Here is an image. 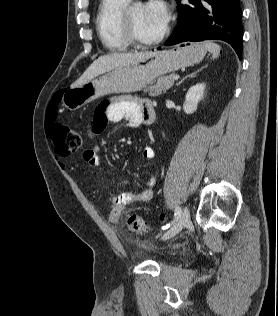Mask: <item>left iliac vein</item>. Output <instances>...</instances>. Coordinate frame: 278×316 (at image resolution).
Returning a JSON list of instances; mask_svg holds the SVG:
<instances>
[{"instance_id":"obj_1","label":"left iliac vein","mask_w":278,"mask_h":316,"mask_svg":"<svg viewBox=\"0 0 278 316\" xmlns=\"http://www.w3.org/2000/svg\"><path fill=\"white\" fill-rule=\"evenodd\" d=\"M189 220V210L187 207H184L178 221L162 236V240H168L177 235L188 224Z\"/></svg>"}]
</instances>
